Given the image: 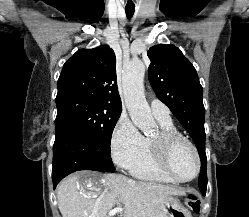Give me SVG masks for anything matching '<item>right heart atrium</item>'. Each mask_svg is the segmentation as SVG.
Here are the masks:
<instances>
[{"mask_svg": "<svg viewBox=\"0 0 249 217\" xmlns=\"http://www.w3.org/2000/svg\"><path fill=\"white\" fill-rule=\"evenodd\" d=\"M143 146V136L130 118L121 114L111 133L110 147L115 163L121 168H129Z\"/></svg>", "mask_w": 249, "mask_h": 217, "instance_id": "obj_1", "label": "right heart atrium"}]
</instances>
